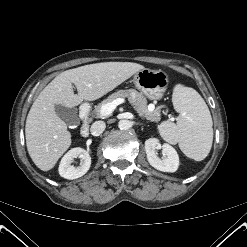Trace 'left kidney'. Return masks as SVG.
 <instances>
[{"label": "left kidney", "mask_w": 247, "mask_h": 247, "mask_svg": "<svg viewBox=\"0 0 247 247\" xmlns=\"http://www.w3.org/2000/svg\"><path fill=\"white\" fill-rule=\"evenodd\" d=\"M162 148L164 158L160 159L156 150ZM147 160L152 167L163 172H175L179 166V156L176 150L169 144L162 146L157 138H149L145 141Z\"/></svg>", "instance_id": "left-kidney-1"}]
</instances>
